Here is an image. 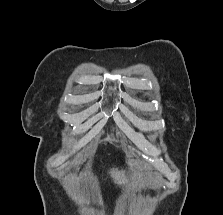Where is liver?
I'll list each match as a JSON object with an SVG mask.
<instances>
[{
	"label": "liver",
	"instance_id": "6515ba94",
	"mask_svg": "<svg viewBox=\"0 0 223 215\" xmlns=\"http://www.w3.org/2000/svg\"><path fill=\"white\" fill-rule=\"evenodd\" d=\"M112 173V177H114L116 183H127L125 171H118V169H113L110 171Z\"/></svg>",
	"mask_w": 223,
	"mask_h": 215
}]
</instances>
